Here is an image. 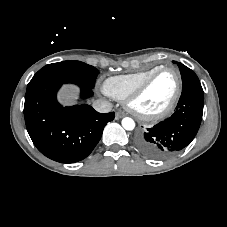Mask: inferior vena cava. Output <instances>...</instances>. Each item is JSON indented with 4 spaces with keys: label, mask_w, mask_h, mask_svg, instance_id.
I'll return each instance as SVG.
<instances>
[{
    "label": "inferior vena cava",
    "mask_w": 227,
    "mask_h": 227,
    "mask_svg": "<svg viewBox=\"0 0 227 227\" xmlns=\"http://www.w3.org/2000/svg\"><path fill=\"white\" fill-rule=\"evenodd\" d=\"M93 108L100 113H108L112 110V104L104 99H98L93 103Z\"/></svg>",
    "instance_id": "inferior-vena-cava-1"
}]
</instances>
